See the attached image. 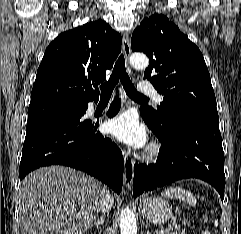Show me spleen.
I'll list each match as a JSON object with an SVG mask.
<instances>
[{"label":"spleen","instance_id":"spleen-1","mask_svg":"<svg viewBox=\"0 0 241 234\" xmlns=\"http://www.w3.org/2000/svg\"><path fill=\"white\" fill-rule=\"evenodd\" d=\"M162 196L171 199H178L180 201L186 202L191 206L196 205V198L194 195L181 187H170L162 193ZM207 220L208 219L206 217L205 221L207 222ZM202 234H210V232L206 230L203 231Z\"/></svg>","mask_w":241,"mask_h":234}]
</instances>
